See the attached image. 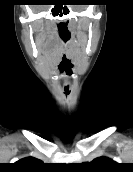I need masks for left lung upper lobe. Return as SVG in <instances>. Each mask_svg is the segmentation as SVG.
I'll list each match as a JSON object with an SVG mask.
<instances>
[{"instance_id": "left-lung-upper-lobe-1", "label": "left lung upper lobe", "mask_w": 133, "mask_h": 172, "mask_svg": "<svg viewBox=\"0 0 133 172\" xmlns=\"http://www.w3.org/2000/svg\"><path fill=\"white\" fill-rule=\"evenodd\" d=\"M93 172H107L116 167V162L106 157H99L90 163H85Z\"/></svg>"}]
</instances>
